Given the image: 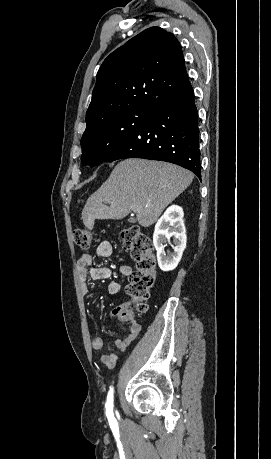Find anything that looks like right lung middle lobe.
Wrapping results in <instances>:
<instances>
[{"label": "right lung middle lobe", "instance_id": "dd1d6c3e", "mask_svg": "<svg viewBox=\"0 0 271 459\" xmlns=\"http://www.w3.org/2000/svg\"><path fill=\"white\" fill-rule=\"evenodd\" d=\"M155 110L152 106L139 105L87 122L81 138V163L93 167L105 162Z\"/></svg>", "mask_w": 271, "mask_h": 459}]
</instances>
